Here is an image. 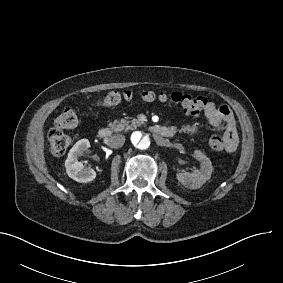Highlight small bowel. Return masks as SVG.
<instances>
[{"label": "small bowel", "mask_w": 283, "mask_h": 283, "mask_svg": "<svg viewBox=\"0 0 283 283\" xmlns=\"http://www.w3.org/2000/svg\"><path fill=\"white\" fill-rule=\"evenodd\" d=\"M234 108L226 103L219 107L214 102H209L204 108V115L209 124L216 130L222 131L228 142L227 153H233L238 147V136L234 125ZM224 122L228 125H224ZM168 135H175L178 132L186 134H200L201 127L198 124H185L182 126H166Z\"/></svg>", "instance_id": "small-bowel-1"}]
</instances>
